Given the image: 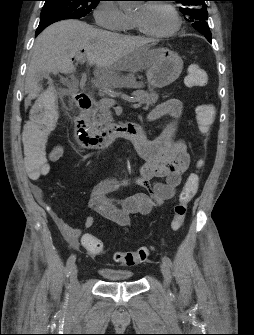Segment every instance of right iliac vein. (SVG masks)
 <instances>
[{
  "label": "right iliac vein",
  "instance_id": "63e3f726",
  "mask_svg": "<svg viewBox=\"0 0 254 335\" xmlns=\"http://www.w3.org/2000/svg\"><path fill=\"white\" fill-rule=\"evenodd\" d=\"M78 268L76 265L73 266L71 269V275H70V282H71V290L74 294L78 293L79 290V282L77 278Z\"/></svg>",
  "mask_w": 254,
  "mask_h": 335
}]
</instances>
